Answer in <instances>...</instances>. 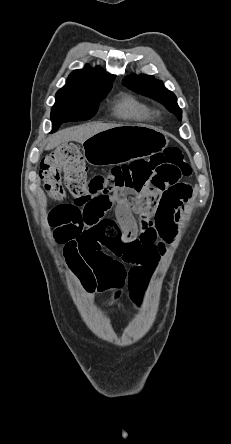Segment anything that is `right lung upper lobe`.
<instances>
[{"label": "right lung upper lobe", "mask_w": 231, "mask_h": 444, "mask_svg": "<svg viewBox=\"0 0 231 444\" xmlns=\"http://www.w3.org/2000/svg\"><path fill=\"white\" fill-rule=\"evenodd\" d=\"M114 79V75L104 72L100 67L93 69L87 64L82 70H74L69 75L66 85L60 90L74 92L103 91L112 87Z\"/></svg>", "instance_id": "1"}]
</instances>
